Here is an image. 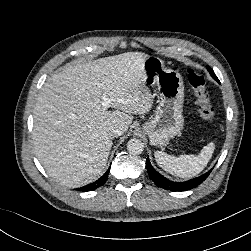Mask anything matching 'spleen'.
<instances>
[{
    "label": "spleen",
    "mask_w": 251,
    "mask_h": 251,
    "mask_svg": "<svg viewBox=\"0 0 251 251\" xmlns=\"http://www.w3.org/2000/svg\"><path fill=\"white\" fill-rule=\"evenodd\" d=\"M215 146L209 143L203 147L199 155H169L162 151L154 153L159 167L166 172L180 178H189L198 175L208 164Z\"/></svg>",
    "instance_id": "3e777b00"
}]
</instances>
